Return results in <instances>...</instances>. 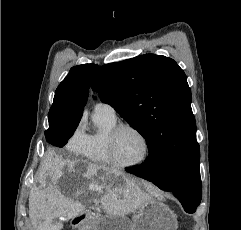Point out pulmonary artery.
Returning <instances> with one entry per match:
<instances>
[{
    "instance_id": "1",
    "label": "pulmonary artery",
    "mask_w": 241,
    "mask_h": 230,
    "mask_svg": "<svg viewBox=\"0 0 241 230\" xmlns=\"http://www.w3.org/2000/svg\"><path fill=\"white\" fill-rule=\"evenodd\" d=\"M94 111L115 114V110L111 105L102 102H99L95 105Z\"/></svg>"
}]
</instances>
